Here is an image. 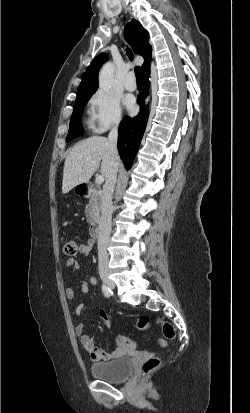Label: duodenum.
I'll return each instance as SVG.
<instances>
[{
  "label": "duodenum",
  "mask_w": 250,
  "mask_h": 413,
  "mask_svg": "<svg viewBox=\"0 0 250 413\" xmlns=\"http://www.w3.org/2000/svg\"><path fill=\"white\" fill-rule=\"evenodd\" d=\"M92 192V185L91 184H82L80 187V195L84 197H88ZM100 221L95 220L90 225V235L93 238H97L100 234Z\"/></svg>",
  "instance_id": "duodenum-1"
}]
</instances>
